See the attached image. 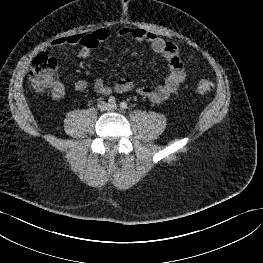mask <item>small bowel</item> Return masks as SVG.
<instances>
[{
	"label": "small bowel",
	"instance_id": "1",
	"mask_svg": "<svg viewBox=\"0 0 263 263\" xmlns=\"http://www.w3.org/2000/svg\"><path fill=\"white\" fill-rule=\"evenodd\" d=\"M114 33L119 37L131 39L138 44H149L155 53L159 54L167 61L169 74L162 84L155 87L143 86L136 88L132 79L122 78L119 79L112 88L102 79H96L94 82V89L98 94L109 95L112 91L121 94L136 91V93L152 102L161 103L178 90L185 80L186 74L177 46L154 33L147 32L140 28L121 27L115 32L106 28H101L92 33L73 34L55 39L51 42L48 49L55 50L66 45H78L81 47L79 57L88 58L91 50L97 48L100 43L110 39ZM87 87L88 82L83 79L78 80L74 85L76 92H83ZM51 92L55 99H61L65 95V88L62 84L56 83L52 87Z\"/></svg>",
	"mask_w": 263,
	"mask_h": 263
}]
</instances>
